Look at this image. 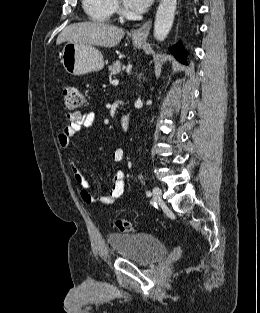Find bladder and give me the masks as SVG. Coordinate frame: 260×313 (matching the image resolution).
Segmentation results:
<instances>
[{
  "mask_svg": "<svg viewBox=\"0 0 260 313\" xmlns=\"http://www.w3.org/2000/svg\"><path fill=\"white\" fill-rule=\"evenodd\" d=\"M108 242L123 258L142 266L153 265L167 254V246L146 233L109 234Z\"/></svg>",
  "mask_w": 260,
  "mask_h": 313,
  "instance_id": "obj_1",
  "label": "bladder"
}]
</instances>
